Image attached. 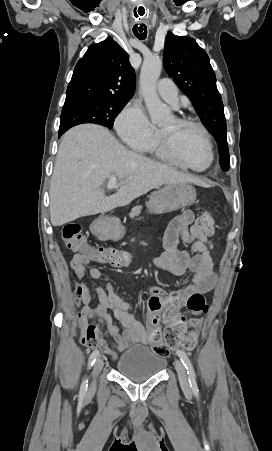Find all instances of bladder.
<instances>
[{
	"instance_id": "bladder-1",
	"label": "bladder",
	"mask_w": 272,
	"mask_h": 451,
	"mask_svg": "<svg viewBox=\"0 0 272 451\" xmlns=\"http://www.w3.org/2000/svg\"><path fill=\"white\" fill-rule=\"evenodd\" d=\"M167 360L161 354L145 345H133L125 350L116 362L119 376H125L135 383H142L149 376L158 375Z\"/></svg>"
}]
</instances>
